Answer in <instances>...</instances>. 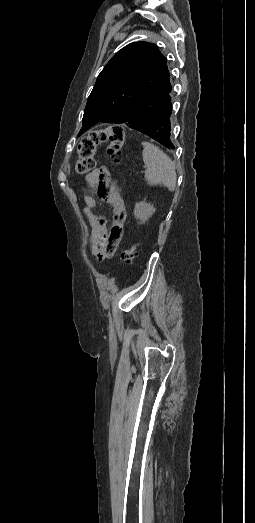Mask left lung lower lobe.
I'll return each instance as SVG.
<instances>
[{
    "mask_svg": "<svg viewBox=\"0 0 255 523\" xmlns=\"http://www.w3.org/2000/svg\"><path fill=\"white\" fill-rule=\"evenodd\" d=\"M172 115H174L173 107H169V114H166L162 120L154 121L151 125L134 127V130L143 132V136L153 137V140H158L157 144L159 146L164 145L167 150H170L172 148L170 133L172 127H174L170 126V123H173L171 120Z\"/></svg>",
    "mask_w": 255,
    "mask_h": 523,
    "instance_id": "obj_1",
    "label": "left lung lower lobe"
}]
</instances>
